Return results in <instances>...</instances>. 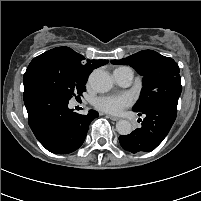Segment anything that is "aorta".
Segmentation results:
<instances>
[{"instance_id":"1","label":"aorta","mask_w":201,"mask_h":201,"mask_svg":"<svg viewBox=\"0 0 201 201\" xmlns=\"http://www.w3.org/2000/svg\"><path fill=\"white\" fill-rule=\"evenodd\" d=\"M89 84L98 93H105L113 86L111 76L104 70L96 69L89 76ZM116 130L121 135H128L132 132V125L128 120H119L116 123Z\"/></svg>"}]
</instances>
